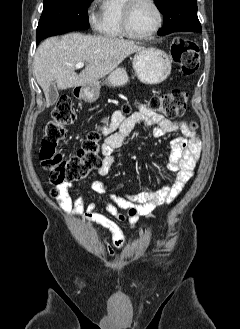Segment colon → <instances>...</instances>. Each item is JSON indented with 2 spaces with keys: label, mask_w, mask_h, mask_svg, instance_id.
Listing matches in <instances>:
<instances>
[{
  "label": "colon",
  "mask_w": 240,
  "mask_h": 329,
  "mask_svg": "<svg viewBox=\"0 0 240 329\" xmlns=\"http://www.w3.org/2000/svg\"><path fill=\"white\" fill-rule=\"evenodd\" d=\"M171 55L183 74L193 75L197 72L201 53L198 44L194 41L182 37L175 38ZM187 101V92L175 89L152 97L147 106L155 111L163 112L169 118H177L185 114ZM123 112L129 114L130 109L124 108ZM74 120L75 114L70 98L66 95L61 96L54 107L52 119L45 126L40 149L42 166L53 184H71L82 181L99 165L101 135L97 130L87 135L76 154L65 157L59 151V144L66 136V128ZM105 122L108 123V120ZM191 127L194 128L195 124H191ZM54 197L59 199V193L55 192Z\"/></svg>",
  "instance_id": "5ec220e1"
}]
</instances>
